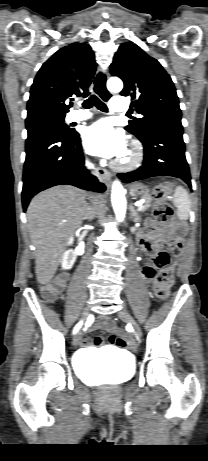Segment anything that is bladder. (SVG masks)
Here are the masks:
<instances>
[{
	"mask_svg": "<svg viewBox=\"0 0 208 461\" xmlns=\"http://www.w3.org/2000/svg\"><path fill=\"white\" fill-rule=\"evenodd\" d=\"M100 359L84 352L74 361L78 376L92 384H120L132 377L134 362L131 357L121 353L103 351Z\"/></svg>",
	"mask_w": 208,
	"mask_h": 461,
	"instance_id": "bladder-1",
	"label": "bladder"
}]
</instances>
